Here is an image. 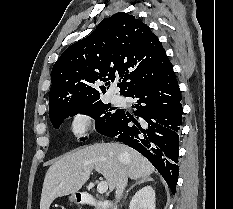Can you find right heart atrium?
<instances>
[{
	"mask_svg": "<svg viewBox=\"0 0 233 209\" xmlns=\"http://www.w3.org/2000/svg\"><path fill=\"white\" fill-rule=\"evenodd\" d=\"M92 125V118L86 111H77L71 121V132L76 136L80 137L86 134Z\"/></svg>",
	"mask_w": 233,
	"mask_h": 209,
	"instance_id": "right-heart-atrium-1",
	"label": "right heart atrium"
}]
</instances>
